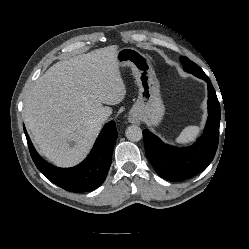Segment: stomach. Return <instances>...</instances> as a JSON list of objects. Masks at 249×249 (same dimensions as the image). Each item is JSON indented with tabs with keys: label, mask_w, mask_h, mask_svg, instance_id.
<instances>
[{
	"label": "stomach",
	"mask_w": 249,
	"mask_h": 249,
	"mask_svg": "<svg viewBox=\"0 0 249 249\" xmlns=\"http://www.w3.org/2000/svg\"><path fill=\"white\" fill-rule=\"evenodd\" d=\"M115 58L119 68L131 67L139 87L138 98L131 108L130 117L148 125H158L164 116L165 107L149 58L134 48L117 50Z\"/></svg>",
	"instance_id": "0dacf381"
}]
</instances>
